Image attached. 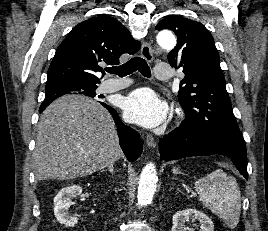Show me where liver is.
<instances>
[{"label":"liver","mask_w":268,"mask_h":231,"mask_svg":"<svg viewBox=\"0 0 268 231\" xmlns=\"http://www.w3.org/2000/svg\"><path fill=\"white\" fill-rule=\"evenodd\" d=\"M122 155L115 123L97 101L65 95L43 111L33 152L37 181L88 176Z\"/></svg>","instance_id":"obj_1"}]
</instances>
